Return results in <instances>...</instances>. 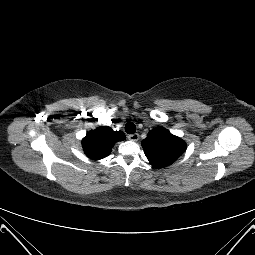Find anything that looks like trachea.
I'll use <instances>...</instances> for the list:
<instances>
[{
	"instance_id": "1",
	"label": "trachea",
	"mask_w": 255,
	"mask_h": 255,
	"mask_svg": "<svg viewBox=\"0 0 255 255\" xmlns=\"http://www.w3.org/2000/svg\"><path fill=\"white\" fill-rule=\"evenodd\" d=\"M125 131L128 133V134H134L136 132V126L134 123L132 122H128L126 125H125Z\"/></svg>"
}]
</instances>
